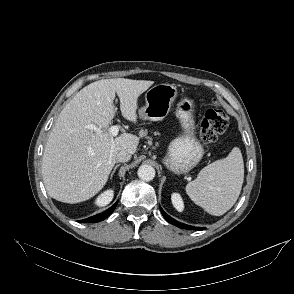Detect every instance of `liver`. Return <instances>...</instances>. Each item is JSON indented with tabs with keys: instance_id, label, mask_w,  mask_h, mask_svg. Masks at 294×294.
Here are the masks:
<instances>
[{
	"instance_id": "obj_1",
	"label": "liver",
	"mask_w": 294,
	"mask_h": 294,
	"mask_svg": "<svg viewBox=\"0 0 294 294\" xmlns=\"http://www.w3.org/2000/svg\"><path fill=\"white\" fill-rule=\"evenodd\" d=\"M154 81L102 79L81 89L60 112L43 154L42 175L50 197L79 203L95 196L106 184L120 151L136 152L139 138L108 131L115 117V94L122 116L137 123L138 97ZM93 125L96 130L90 129Z\"/></svg>"
}]
</instances>
